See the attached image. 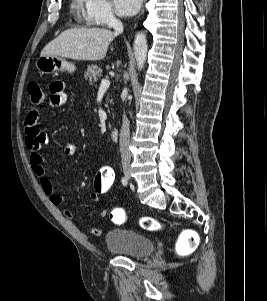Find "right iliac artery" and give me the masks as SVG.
Returning <instances> with one entry per match:
<instances>
[{
    "mask_svg": "<svg viewBox=\"0 0 267 301\" xmlns=\"http://www.w3.org/2000/svg\"><path fill=\"white\" fill-rule=\"evenodd\" d=\"M121 182L124 186L127 185V179L125 177L122 178Z\"/></svg>",
    "mask_w": 267,
    "mask_h": 301,
    "instance_id": "82829eb1",
    "label": "right iliac artery"
}]
</instances>
